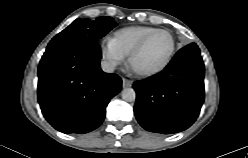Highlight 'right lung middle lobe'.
<instances>
[{"label": "right lung middle lobe", "mask_w": 248, "mask_h": 158, "mask_svg": "<svg viewBox=\"0 0 248 158\" xmlns=\"http://www.w3.org/2000/svg\"><path fill=\"white\" fill-rule=\"evenodd\" d=\"M116 22L111 17L103 16L94 21L88 19H76L66 29L56 35L54 38L82 39L98 41L106 35L112 28L116 27Z\"/></svg>", "instance_id": "1"}]
</instances>
